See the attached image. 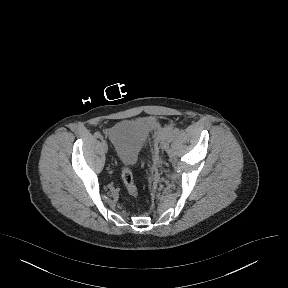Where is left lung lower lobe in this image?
I'll list each match as a JSON object with an SVG mask.
<instances>
[{"mask_svg":"<svg viewBox=\"0 0 288 288\" xmlns=\"http://www.w3.org/2000/svg\"><path fill=\"white\" fill-rule=\"evenodd\" d=\"M259 225H260L259 222H258V221H255V222L252 224V231L258 230Z\"/></svg>","mask_w":288,"mask_h":288,"instance_id":"obj_1","label":"left lung lower lobe"}]
</instances>
